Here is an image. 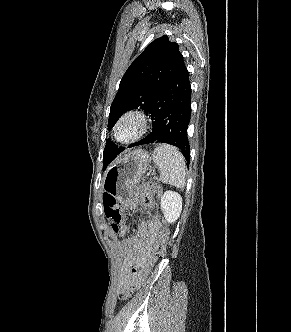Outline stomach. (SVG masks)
Wrapping results in <instances>:
<instances>
[{
    "label": "stomach",
    "instance_id": "1",
    "mask_svg": "<svg viewBox=\"0 0 291 332\" xmlns=\"http://www.w3.org/2000/svg\"><path fill=\"white\" fill-rule=\"evenodd\" d=\"M150 156L135 150L119 158L105 173L104 189L120 203L132 206L137 200V183L149 168Z\"/></svg>",
    "mask_w": 291,
    "mask_h": 332
}]
</instances>
